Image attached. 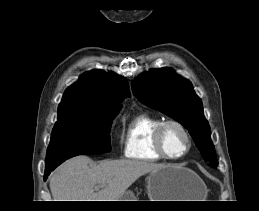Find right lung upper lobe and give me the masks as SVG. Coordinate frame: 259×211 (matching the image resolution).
Here are the masks:
<instances>
[{
	"mask_svg": "<svg viewBox=\"0 0 259 211\" xmlns=\"http://www.w3.org/2000/svg\"><path fill=\"white\" fill-rule=\"evenodd\" d=\"M130 96L126 80L112 72L84 73L64 93L58 115L72 111H118L124 97Z\"/></svg>",
	"mask_w": 259,
	"mask_h": 211,
	"instance_id": "right-lung-upper-lobe-1",
	"label": "right lung upper lobe"
}]
</instances>
